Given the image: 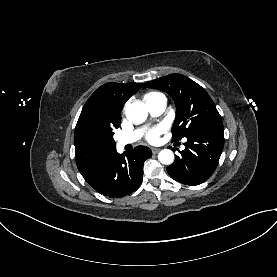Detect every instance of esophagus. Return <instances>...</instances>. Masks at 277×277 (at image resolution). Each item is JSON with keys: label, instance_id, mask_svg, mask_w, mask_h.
<instances>
[{"label": "esophagus", "instance_id": "obj_1", "mask_svg": "<svg viewBox=\"0 0 277 277\" xmlns=\"http://www.w3.org/2000/svg\"><path fill=\"white\" fill-rule=\"evenodd\" d=\"M151 150L153 154H156L160 151V148H152Z\"/></svg>", "mask_w": 277, "mask_h": 277}]
</instances>
